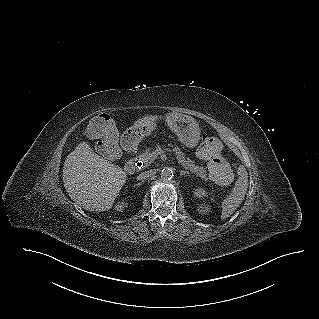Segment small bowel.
I'll return each instance as SVG.
<instances>
[{"label":"small bowel","mask_w":319,"mask_h":319,"mask_svg":"<svg viewBox=\"0 0 319 319\" xmlns=\"http://www.w3.org/2000/svg\"><path fill=\"white\" fill-rule=\"evenodd\" d=\"M198 155H199L200 158L204 159V158L202 157V154H201L200 150H199V152H198Z\"/></svg>","instance_id":"obj_1"}]
</instances>
